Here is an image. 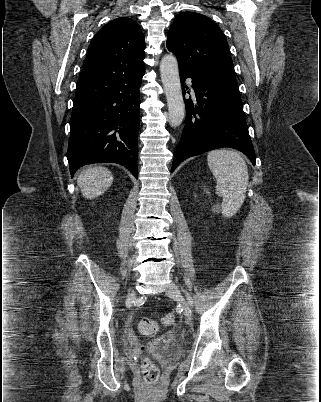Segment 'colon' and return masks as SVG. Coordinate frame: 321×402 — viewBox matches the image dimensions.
<instances>
[{
	"instance_id": "5ec220e1",
	"label": "colon",
	"mask_w": 321,
	"mask_h": 402,
	"mask_svg": "<svg viewBox=\"0 0 321 402\" xmlns=\"http://www.w3.org/2000/svg\"><path fill=\"white\" fill-rule=\"evenodd\" d=\"M175 319H176L175 315L173 313H169L164 316L163 324L166 326H170L174 324ZM157 328H158L157 323L149 318H144L140 320L138 324L139 331L144 335L154 334L157 331ZM140 367L145 382L150 385L156 384L159 379V370L154 364V362L149 358H145L143 359Z\"/></svg>"
}]
</instances>
